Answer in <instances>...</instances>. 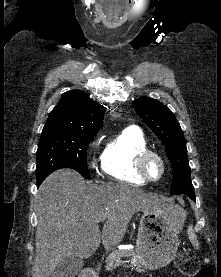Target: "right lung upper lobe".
I'll return each instance as SVG.
<instances>
[{
	"mask_svg": "<svg viewBox=\"0 0 221 277\" xmlns=\"http://www.w3.org/2000/svg\"><path fill=\"white\" fill-rule=\"evenodd\" d=\"M103 119V106L83 91L72 90L62 94L43 131H98Z\"/></svg>",
	"mask_w": 221,
	"mask_h": 277,
	"instance_id": "obj_1",
	"label": "right lung upper lobe"
}]
</instances>
